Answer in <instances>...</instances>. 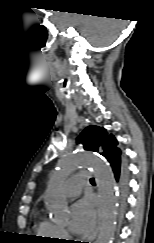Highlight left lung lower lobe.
<instances>
[{"mask_svg":"<svg viewBox=\"0 0 154 243\" xmlns=\"http://www.w3.org/2000/svg\"><path fill=\"white\" fill-rule=\"evenodd\" d=\"M121 161H122L121 164L115 162V164L112 165V169L120 190L121 204L124 207L126 202L127 192H128V170L122 158Z\"/></svg>","mask_w":154,"mask_h":243,"instance_id":"obj_1","label":"left lung lower lobe"}]
</instances>
